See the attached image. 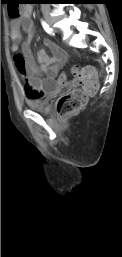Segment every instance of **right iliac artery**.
Here are the masks:
<instances>
[{
  "label": "right iliac artery",
  "instance_id": "1",
  "mask_svg": "<svg viewBox=\"0 0 122 257\" xmlns=\"http://www.w3.org/2000/svg\"><path fill=\"white\" fill-rule=\"evenodd\" d=\"M42 26H43L44 30H45L48 34H53L52 29L49 27V25H48L46 22L42 21Z\"/></svg>",
  "mask_w": 122,
  "mask_h": 257
}]
</instances>
